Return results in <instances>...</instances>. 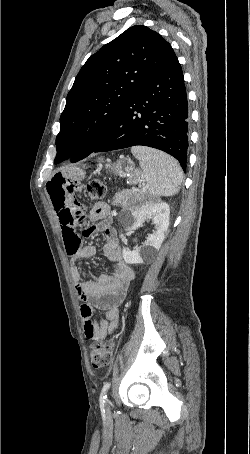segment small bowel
Masks as SVG:
<instances>
[{"instance_id": "c3829d8e", "label": "small bowel", "mask_w": 250, "mask_h": 454, "mask_svg": "<svg viewBox=\"0 0 250 454\" xmlns=\"http://www.w3.org/2000/svg\"><path fill=\"white\" fill-rule=\"evenodd\" d=\"M82 190L79 178L63 174L55 175L47 183V191L57 214L67 254L72 260L93 257L94 246L84 245L76 232L84 227L83 236L95 232L105 234L104 253L111 261L109 274L92 276L83 280L79 268L72 263L71 275L81 301L80 313L84 322V334L88 339H104L112 334L118 325V306L121 304L134 273L123 261L122 249L115 230L111 225L110 208L106 203H96L90 211L79 202L77 194ZM94 308L104 311L105 319H92Z\"/></svg>"}]
</instances>
